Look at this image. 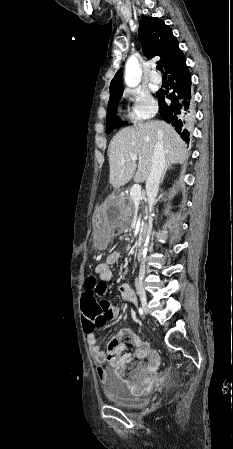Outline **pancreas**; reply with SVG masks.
Returning <instances> with one entry per match:
<instances>
[{
  "label": "pancreas",
  "instance_id": "cf45deb5",
  "mask_svg": "<svg viewBox=\"0 0 233 449\" xmlns=\"http://www.w3.org/2000/svg\"><path fill=\"white\" fill-rule=\"evenodd\" d=\"M122 215L125 219L132 218L138 211L135 208L134 202L129 195H124L119 199ZM143 207V202H140ZM145 216V213H143Z\"/></svg>",
  "mask_w": 233,
  "mask_h": 449
}]
</instances>
